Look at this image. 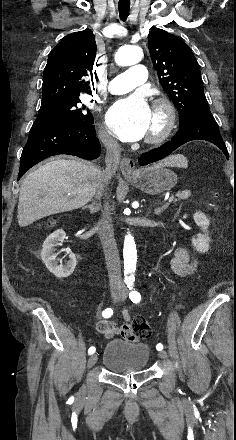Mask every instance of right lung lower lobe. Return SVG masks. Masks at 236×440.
I'll list each match as a JSON object with an SVG mask.
<instances>
[{
    "mask_svg": "<svg viewBox=\"0 0 236 440\" xmlns=\"http://www.w3.org/2000/svg\"><path fill=\"white\" fill-rule=\"evenodd\" d=\"M100 153L93 124L39 118L33 123L22 151L18 179L32 166L50 156L69 154L93 160Z\"/></svg>",
    "mask_w": 236,
    "mask_h": 440,
    "instance_id": "1",
    "label": "right lung lower lobe"
}]
</instances>
